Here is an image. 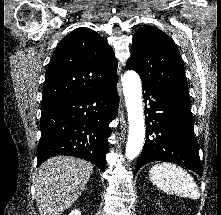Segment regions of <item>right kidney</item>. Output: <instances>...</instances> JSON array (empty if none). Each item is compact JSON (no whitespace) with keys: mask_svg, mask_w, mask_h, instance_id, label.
Segmentation results:
<instances>
[{"mask_svg":"<svg viewBox=\"0 0 221 215\" xmlns=\"http://www.w3.org/2000/svg\"><path fill=\"white\" fill-rule=\"evenodd\" d=\"M69 215H81V212L75 209V210H72Z\"/></svg>","mask_w":221,"mask_h":215,"instance_id":"1","label":"right kidney"}]
</instances>
